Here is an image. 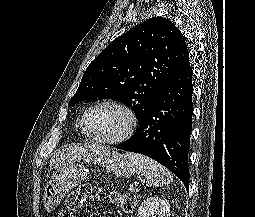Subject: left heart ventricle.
I'll use <instances>...</instances> for the list:
<instances>
[{"instance_id":"obj_1","label":"left heart ventricle","mask_w":255,"mask_h":217,"mask_svg":"<svg viewBox=\"0 0 255 217\" xmlns=\"http://www.w3.org/2000/svg\"><path fill=\"white\" fill-rule=\"evenodd\" d=\"M127 117L112 106H101L93 109L87 116L88 130L102 138H114L120 135L127 126Z\"/></svg>"}]
</instances>
